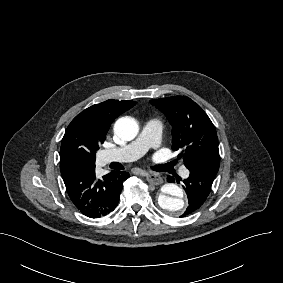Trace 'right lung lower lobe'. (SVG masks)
<instances>
[{"mask_svg":"<svg viewBox=\"0 0 283 283\" xmlns=\"http://www.w3.org/2000/svg\"><path fill=\"white\" fill-rule=\"evenodd\" d=\"M69 198L85 216L99 218L117 206L126 172L112 171L98 179L94 166H82L61 173Z\"/></svg>","mask_w":283,"mask_h":283,"instance_id":"98d812e1","label":"right lung lower lobe"}]
</instances>
